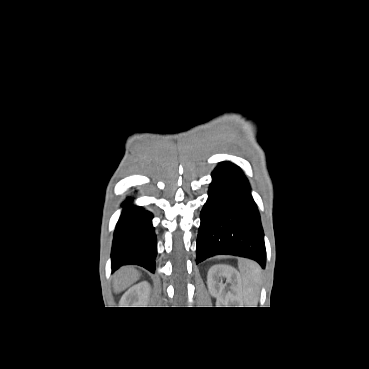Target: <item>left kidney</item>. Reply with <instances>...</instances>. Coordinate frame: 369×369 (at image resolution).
Returning <instances> with one entry per match:
<instances>
[{"mask_svg":"<svg viewBox=\"0 0 369 369\" xmlns=\"http://www.w3.org/2000/svg\"><path fill=\"white\" fill-rule=\"evenodd\" d=\"M219 277H226L227 281L232 284V294L228 298L239 300L238 284L240 283L239 273L229 266H213L209 269L207 275V285L212 296L221 298L224 285L218 282Z\"/></svg>","mask_w":369,"mask_h":369,"instance_id":"5707ae66","label":"left kidney"}]
</instances>
